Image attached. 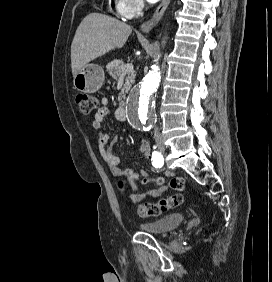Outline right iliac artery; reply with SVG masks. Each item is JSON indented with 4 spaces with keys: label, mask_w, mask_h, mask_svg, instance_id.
I'll list each match as a JSON object with an SVG mask.
<instances>
[{
    "label": "right iliac artery",
    "mask_w": 272,
    "mask_h": 282,
    "mask_svg": "<svg viewBox=\"0 0 272 282\" xmlns=\"http://www.w3.org/2000/svg\"><path fill=\"white\" fill-rule=\"evenodd\" d=\"M163 164H164V158L161 155V153L154 151L152 153V165L155 168H161L163 166Z\"/></svg>",
    "instance_id": "obj_1"
}]
</instances>
